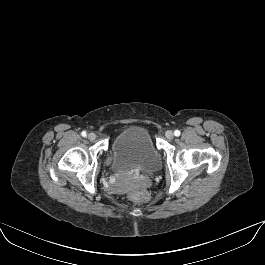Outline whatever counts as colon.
Instances as JSON below:
<instances>
[{
	"mask_svg": "<svg viewBox=\"0 0 265 265\" xmlns=\"http://www.w3.org/2000/svg\"><path fill=\"white\" fill-rule=\"evenodd\" d=\"M147 195L143 191H133L128 194V198L132 201L141 202L146 199Z\"/></svg>",
	"mask_w": 265,
	"mask_h": 265,
	"instance_id": "obj_1",
	"label": "colon"
}]
</instances>
